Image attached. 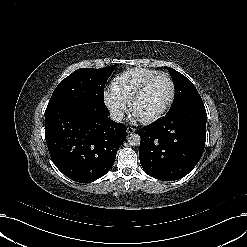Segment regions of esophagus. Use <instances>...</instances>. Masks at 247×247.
<instances>
[{"mask_svg":"<svg viewBox=\"0 0 247 247\" xmlns=\"http://www.w3.org/2000/svg\"><path fill=\"white\" fill-rule=\"evenodd\" d=\"M135 131H136L135 128H133V127H131V126L127 127V133H128V134H132V133H134Z\"/></svg>","mask_w":247,"mask_h":247,"instance_id":"obj_1","label":"esophagus"}]
</instances>
